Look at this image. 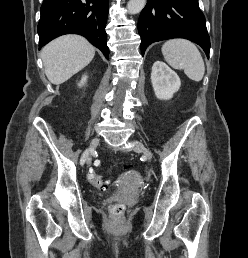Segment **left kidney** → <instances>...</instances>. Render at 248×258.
Instances as JSON below:
<instances>
[{"mask_svg": "<svg viewBox=\"0 0 248 258\" xmlns=\"http://www.w3.org/2000/svg\"><path fill=\"white\" fill-rule=\"evenodd\" d=\"M151 82L154 93L160 100L171 99L181 85L177 73L162 61L154 62L151 72Z\"/></svg>", "mask_w": 248, "mask_h": 258, "instance_id": "left-kidney-1", "label": "left kidney"}]
</instances>
